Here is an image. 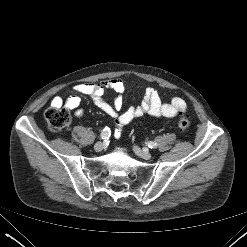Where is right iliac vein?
Wrapping results in <instances>:
<instances>
[{
	"mask_svg": "<svg viewBox=\"0 0 247 247\" xmlns=\"http://www.w3.org/2000/svg\"><path fill=\"white\" fill-rule=\"evenodd\" d=\"M105 148V144L103 142H97L95 145H94V150L96 152H101L103 149Z\"/></svg>",
	"mask_w": 247,
	"mask_h": 247,
	"instance_id": "63e3f726",
	"label": "right iliac vein"
}]
</instances>
